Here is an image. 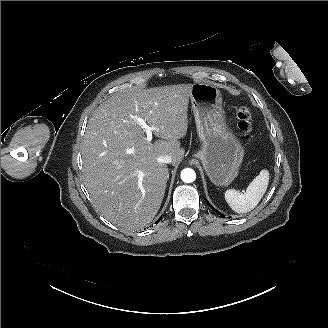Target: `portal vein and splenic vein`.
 <instances>
[{
    "instance_id": "18ae733b",
    "label": "portal vein and splenic vein",
    "mask_w": 328,
    "mask_h": 328,
    "mask_svg": "<svg viewBox=\"0 0 328 328\" xmlns=\"http://www.w3.org/2000/svg\"><path fill=\"white\" fill-rule=\"evenodd\" d=\"M132 118L137 121V123L141 126V128L144 129L145 133H146V141L147 142H151L152 141V138H153V135H152V132L154 130H156L155 127H151L149 126L145 120L141 117H138L137 115L135 116H132ZM127 153H131V150H127ZM143 177H144V173L139 171L138 173V181L139 182H142L143 181Z\"/></svg>"
}]
</instances>
